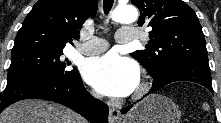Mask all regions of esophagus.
<instances>
[{
  "instance_id": "34e87169",
  "label": "esophagus",
  "mask_w": 221,
  "mask_h": 123,
  "mask_svg": "<svg viewBox=\"0 0 221 123\" xmlns=\"http://www.w3.org/2000/svg\"><path fill=\"white\" fill-rule=\"evenodd\" d=\"M119 119V110L114 107H109V122L115 123Z\"/></svg>"
}]
</instances>
